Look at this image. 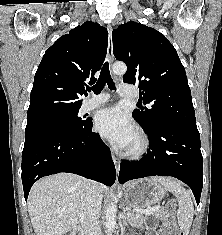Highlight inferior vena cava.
<instances>
[{"label": "inferior vena cava", "mask_w": 222, "mask_h": 235, "mask_svg": "<svg viewBox=\"0 0 222 235\" xmlns=\"http://www.w3.org/2000/svg\"><path fill=\"white\" fill-rule=\"evenodd\" d=\"M102 192L100 184L88 181L85 207L80 217L84 235H101L98 225L102 204Z\"/></svg>", "instance_id": "1"}]
</instances>
